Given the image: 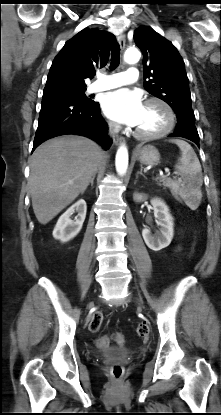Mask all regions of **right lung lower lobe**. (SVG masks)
Segmentation results:
<instances>
[{
    "mask_svg": "<svg viewBox=\"0 0 221 415\" xmlns=\"http://www.w3.org/2000/svg\"><path fill=\"white\" fill-rule=\"evenodd\" d=\"M65 134L89 137L108 149L107 124L99 103L62 97L43 98L32 152L44 141Z\"/></svg>",
    "mask_w": 221,
    "mask_h": 415,
    "instance_id": "obj_1",
    "label": "right lung lower lobe"
}]
</instances>
